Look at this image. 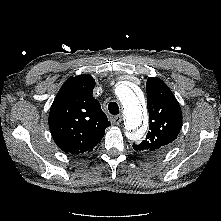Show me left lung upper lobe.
<instances>
[{"instance_id":"5c2ea615","label":"left lung upper lobe","mask_w":221,"mask_h":221,"mask_svg":"<svg viewBox=\"0 0 221 221\" xmlns=\"http://www.w3.org/2000/svg\"><path fill=\"white\" fill-rule=\"evenodd\" d=\"M149 129L146 139L133 144L135 151L149 156L163 154L177 138L182 127V111L169 87L159 78L147 80Z\"/></svg>"}]
</instances>
